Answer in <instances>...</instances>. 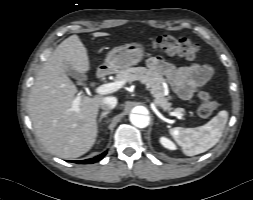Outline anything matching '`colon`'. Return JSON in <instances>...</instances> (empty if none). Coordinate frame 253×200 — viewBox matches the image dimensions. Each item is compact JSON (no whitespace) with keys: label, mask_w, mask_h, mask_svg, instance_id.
Segmentation results:
<instances>
[{"label":"colon","mask_w":253,"mask_h":200,"mask_svg":"<svg viewBox=\"0 0 253 200\" xmlns=\"http://www.w3.org/2000/svg\"><path fill=\"white\" fill-rule=\"evenodd\" d=\"M149 46L167 55L181 56L191 61L197 59L200 50L199 46L188 38L172 35L158 36L149 43ZM199 102L198 113L203 118L210 117L217 108L216 101L207 91L200 92Z\"/></svg>","instance_id":"obj_1"}]
</instances>
